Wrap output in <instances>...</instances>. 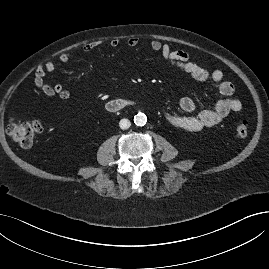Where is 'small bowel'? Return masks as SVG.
Segmentation results:
<instances>
[{
  "instance_id": "1",
  "label": "small bowel",
  "mask_w": 269,
  "mask_h": 269,
  "mask_svg": "<svg viewBox=\"0 0 269 269\" xmlns=\"http://www.w3.org/2000/svg\"><path fill=\"white\" fill-rule=\"evenodd\" d=\"M105 43L112 48H117L120 44L116 38L109 39ZM101 44L102 42H89L84 45L83 51L89 53ZM138 44L139 40L136 37H131L127 40V45L130 48H135ZM150 47L153 51L159 52L162 58L169 64L181 69L195 80H212L217 84L219 92L224 96V98L217 100L211 108L205 109L197 115H189L195 109L194 100L190 97H183L179 102V107L186 115H174L165 109L161 111L163 119L171 126L186 131H199L220 123L230 113H238L242 110V102L232 98L235 91L234 85L224 80L222 71H209L192 61L187 52L173 50L169 45L159 40H152ZM71 56L72 54L69 52L63 53L60 56V61L66 64ZM54 69L55 65L53 62H47L45 65L39 66L35 71V85L47 96H59L62 99L70 98V90L63 85H50L46 82V76L52 73Z\"/></svg>"
}]
</instances>
